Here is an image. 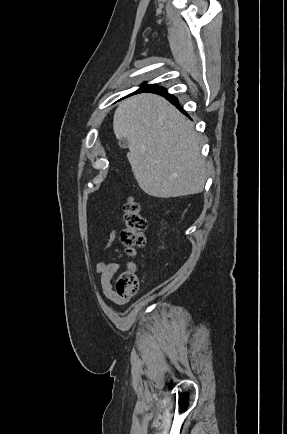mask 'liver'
<instances>
[{
	"mask_svg": "<svg viewBox=\"0 0 287 434\" xmlns=\"http://www.w3.org/2000/svg\"><path fill=\"white\" fill-rule=\"evenodd\" d=\"M113 129L118 139L128 140V160L146 194L170 198L203 191L206 168L200 137L165 98L143 93L122 101Z\"/></svg>",
	"mask_w": 287,
	"mask_h": 434,
	"instance_id": "1",
	"label": "liver"
}]
</instances>
